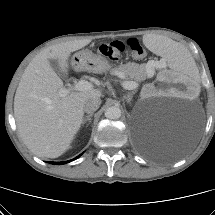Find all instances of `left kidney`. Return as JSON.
<instances>
[{"instance_id":"obj_1","label":"left kidney","mask_w":215,"mask_h":215,"mask_svg":"<svg viewBox=\"0 0 215 215\" xmlns=\"http://www.w3.org/2000/svg\"><path fill=\"white\" fill-rule=\"evenodd\" d=\"M159 84L152 83L144 90L146 96L163 95L178 100H194L198 96V85L194 80L188 81L179 72L163 70Z\"/></svg>"}]
</instances>
